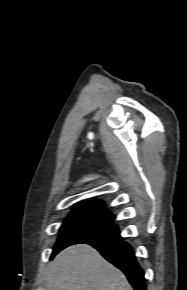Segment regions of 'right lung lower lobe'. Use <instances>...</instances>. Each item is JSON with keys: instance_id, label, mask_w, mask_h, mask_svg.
Listing matches in <instances>:
<instances>
[{"instance_id": "1", "label": "right lung lower lobe", "mask_w": 187, "mask_h": 290, "mask_svg": "<svg viewBox=\"0 0 187 290\" xmlns=\"http://www.w3.org/2000/svg\"><path fill=\"white\" fill-rule=\"evenodd\" d=\"M83 243L96 248L106 260L119 268L135 290H146L144 271L139 266L131 246L122 241L119 233Z\"/></svg>"}]
</instances>
